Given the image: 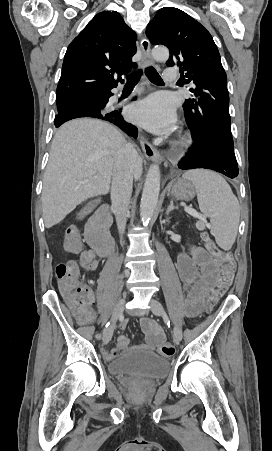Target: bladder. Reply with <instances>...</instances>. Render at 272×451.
Wrapping results in <instances>:
<instances>
[{
    "mask_svg": "<svg viewBox=\"0 0 272 451\" xmlns=\"http://www.w3.org/2000/svg\"><path fill=\"white\" fill-rule=\"evenodd\" d=\"M169 371V361L157 353L128 354L108 363L110 375L132 374L139 378H162Z\"/></svg>",
    "mask_w": 272,
    "mask_h": 451,
    "instance_id": "bladder-1",
    "label": "bladder"
}]
</instances>
